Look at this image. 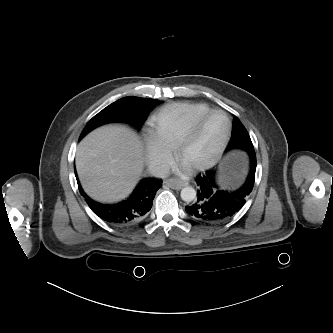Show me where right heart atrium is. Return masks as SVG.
Instances as JSON below:
<instances>
[{
  "mask_svg": "<svg viewBox=\"0 0 333 333\" xmlns=\"http://www.w3.org/2000/svg\"><path fill=\"white\" fill-rule=\"evenodd\" d=\"M145 154L147 162L155 174H163L172 161V152L153 133L146 138Z\"/></svg>",
  "mask_w": 333,
  "mask_h": 333,
  "instance_id": "obj_1",
  "label": "right heart atrium"
}]
</instances>
